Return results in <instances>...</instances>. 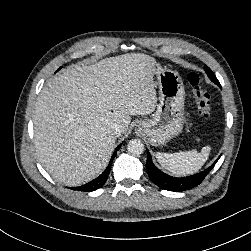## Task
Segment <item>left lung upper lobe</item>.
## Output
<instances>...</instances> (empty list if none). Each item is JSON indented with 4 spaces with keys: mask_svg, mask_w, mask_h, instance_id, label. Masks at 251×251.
I'll return each instance as SVG.
<instances>
[{
    "mask_svg": "<svg viewBox=\"0 0 251 251\" xmlns=\"http://www.w3.org/2000/svg\"><path fill=\"white\" fill-rule=\"evenodd\" d=\"M204 70L207 73L208 77L211 79V81H213L215 84L219 83V81L215 77L214 73L212 72V70L208 66H205Z\"/></svg>",
    "mask_w": 251,
    "mask_h": 251,
    "instance_id": "obj_1",
    "label": "left lung upper lobe"
}]
</instances>
